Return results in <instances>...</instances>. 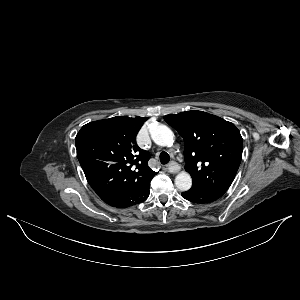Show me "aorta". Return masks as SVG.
<instances>
[{"label": "aorta", "mask_w": 300, "mask_h": 300, "mask_svg": "<svg viewBox=\"0 0 300 300\" xmlns=\"http://www.w3.org/2000/svg\"><path fill=\"white\" fill-rule=\"evenodd\" d=\"M152 140L160 146H171L174 142V134L165 125H157L151 131ZM175 185L181 191H187L192 186V178L189 173L181 172L175 177Z\"/></svg>", "instance_id": "762f6f07"}]
</instances>
